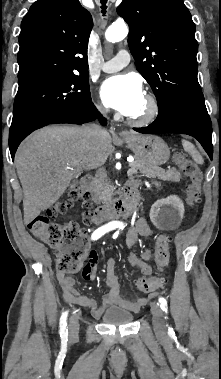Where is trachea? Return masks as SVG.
<instances>
[{"instance_id":"1","label":"trachea","mask_w":221,"mask_h":379,"mask_svg":"<svg viewBox=\"0 0 221 379\" xmlns=\"http://www.w3.org/2000/svg\"><path fill=\"white\" fill-rule=\"evenodd\" d=\"M106 3H107V0H101V4H102L101 8H102V13L104 15L106 13V8H107Z\"/></svg>"}]
</instances>
